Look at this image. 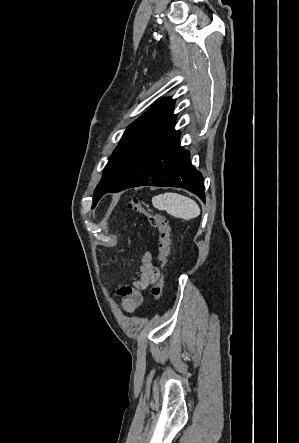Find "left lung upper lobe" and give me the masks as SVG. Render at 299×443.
I'll return each mask as SVG.
<instances>
[{"label": "left lung upper lobe", "mask_w": 299, "mask_h": 443, "mask_svg": "<svg viewBox=\"0 0 299 443\" xmlns=\"http://www.w3.org/2000/svg\"><path fill=\"white\" fill-rule=\"evenodd\" d=\"M173 107L174 100L163 99L127 128L96 187L93 205L138 160L175 131Z\"/></svg>", "instance_id": "5c2ea615"}]
</instances>
